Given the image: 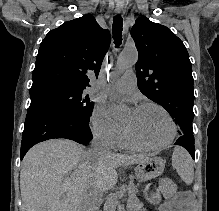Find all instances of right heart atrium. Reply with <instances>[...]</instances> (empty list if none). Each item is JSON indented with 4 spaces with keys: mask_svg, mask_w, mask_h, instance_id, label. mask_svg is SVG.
<instances>
[{
    "mask_svg": "<svg viewBox=\"0 0 219 211\" xmlns=\"http://www.w3.org/2000/svg\"><path fill=\"white\" fill-rule=\"evenodd\" d=\"M90 126L94 137L105 145L113 147L120 142L123 126L109 115L105 107L97 105L93 108Z\"/></svg>",
    "mask_w": 219,
    "mask_h": 211,
    "instance_id": "right-heart-atrium-1",
    "label": "right heart atrium"
}]
</instances>
